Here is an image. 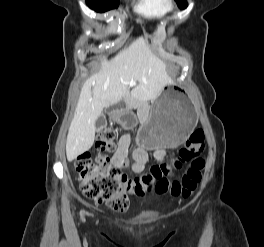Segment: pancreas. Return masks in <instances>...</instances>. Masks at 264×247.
<instances>
[{"instance_id":"1","label":"pancreas","mask_w":264,"mask_h":247,"mask_svg":"<svg viewBox=\"0 0 264 247\" xmlns=\"http://www.w3.org/2000/svg\"><path fill=\"white\" fill-rule=\"evenodd\" d=\"M136 104H137V101L133 99L131 102L128 103V106H129V107H133V106H135Z\"/></svg>"}]
</instances>
